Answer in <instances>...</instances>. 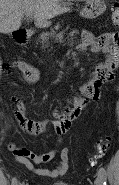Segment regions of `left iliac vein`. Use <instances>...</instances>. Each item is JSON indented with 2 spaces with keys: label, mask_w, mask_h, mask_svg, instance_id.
<instances>
[{
  "label": "left iliac vein",
  "mask_w": 119,
  "mask_h": 185,
  "mask_svg": "<svg viewBox=\"0 0 119 185\" xmlns=\"http://www.w3.org/2000/svg\"><path fill=\"white\" fill-rule=\"evenodd\" d=\"M95 183L96 185H103V177L100 173H98Z\"/></svg>",
  "instance_id": "4c4485c4"
}]
</instances>
